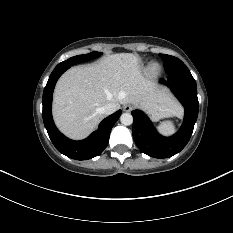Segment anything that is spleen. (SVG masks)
Here are the masks:
<instances>
[{
  "instance_id": "1",
  "label": "spleen",
  "mask_w": 233,
  "mask_h": 233,
  "mask_svg": "<svg viewBox=\"0 0 233 233\" xmlns=\"http://www.w3.org/2000/svg\"><path fill=\"white\" fill-rule=\"evenodd\" d=\"M158 130L162 134L168 135L174 132V125L172 121H164L158 125Z\"/></svg>"
}]
</instances>
